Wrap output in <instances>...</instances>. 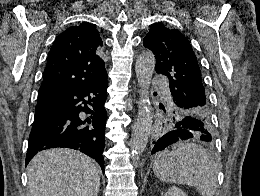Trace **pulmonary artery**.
Returning a JSON list of instances; mask_svg holds the SVG:
<instances>
[{
	"label": "pulmonary artery",
	"instance_id": "1",
	"mask_svg": "<svg viewBox=\"0 0 260 196\" xmlns=\"http://www.w3.org/2000/svg\"><path fill=\"white\" fill-rule=\"evenodd\" d=\"M153 84H166V79H153Z\"/></svg>",
	"mask_w": 260,
	"mask_h": 196
}]
</instances>
